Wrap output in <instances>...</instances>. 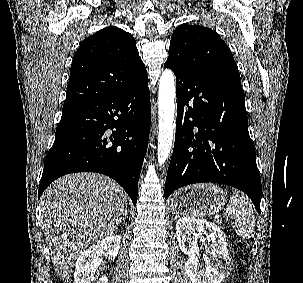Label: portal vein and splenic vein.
Here are the masks:
<instances>
[{"label":"portal vein and splenic vein","mask_w":303,"mask_h":283,"mask_svg":"<svg viewBox=\"0 0 303 283\" xmlns=\"http://www.w3.org/2000/svg\"><path fill=\"white\" fill-rule=\"evenodd\" d=\"M216 220H217V223H218V224H221V222H222L221 219H219V218L217 217Z\"/></svg>","instance_id":"portal-vein-and-splenic-vein-1"}]
</instances>
